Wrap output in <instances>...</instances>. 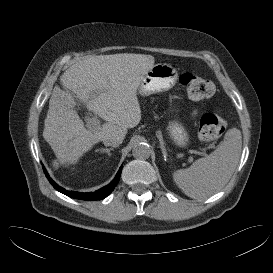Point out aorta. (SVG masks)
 Returning a JSON list of instances; mask_svg holds the SVG:
<instances>
[{"label":"aorta","mask_w":273,"mask_h":273,"mask_svg":"<svg viewBox=\"0 0 273 273\" xmlns=\"http://www.w3.org/2000/svg\"><path fill=\"white\" fill-rule=\"evenodd\" d=\"M150 147L146 143H137L132 149V155L136 159H148L150 157Z\"/></svg>","instance_id":"aorta-1"}]
</instances>
